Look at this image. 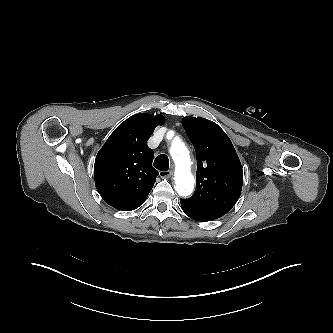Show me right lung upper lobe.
I'll use <instances>...</instances> for the list:
<instances>
[{"instance_id":"obj_1","label":"right lung upper lobe","mask_w":333,"mask_h":333,"mask_svg":"<svg viewBox=\"0 0 333 333\" xmlns=\"http://www.w3.org/2000/svg\"><path fill=\"white\" fill-rule=\"evenodd\" d=\"M164 122L162 115L131 116L99 150L94 165L95 186L107 204L130 211L144 203L158 175L152 167L154 152L147 140Z\"/></svg>"}]
</instances>
